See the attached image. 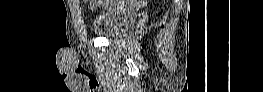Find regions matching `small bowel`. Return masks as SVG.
<instances>
[{
    "label": "small bowel",
    "instance_id": "obj_1",
    "mask_svg": "<svg viewBox=\"0 0 263 92\" xmlns=\"http://www.w3.org/2000/svg\"><path fill=\"white\" fill-rule=\"evenodd\" d=\"M94 3H100V2H98V1H93ZM119 3H116V4H111V6H116L117 7V5H118Z\"/></svg>",
    "mask_w": 263,
    "mask_h": 92
}]
</instances>
